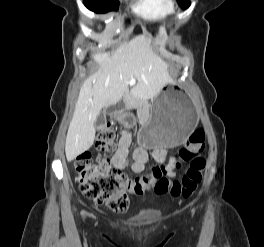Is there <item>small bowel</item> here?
<instances>
[{
    "label": "small bowel",
    "mask_w": 264,
    "mask_h": 247,
    "mask_svg": "<svg viewBox=\"0 0 264 247\" xmlns=\"http://www.w3.org/2000/svg\"><path fill=\"white\" fill-rule=\"evenodd\" d=\"M133 138V132L131 130H123L121 132V138L118 143L117 150L112 158V164L115 168L119 170H123L128 166V153L131 146ZM165 150L164 149H156L153 152V156L156 160L162 161L165 158ZM133 164L131 166V169L135 173H141L144 168L145 164L148 161V153L140 147H137L133 150ZM173 160L171 159V162ZM169 175L171 177L175 176V173L170 170Z\"/></svg>",
    "instance_id": "small-bowel-1"
}]
</instances>
